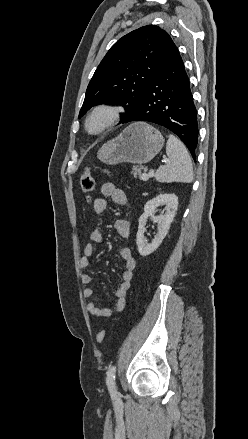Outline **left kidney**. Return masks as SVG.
Instances as JSON below:
<instances>
[{"instance_id":"5707ae66","label":"left kidney","mask_w":248,"mask_h":439,"mask_svg":"<svg viewBox=\"0 0 248 439\" xmlns=\"http://www.w3.org/2000/svg\"><path fill=\"white\" fill-rule=\"evenodd\" d=\"M162 205H165V214L154 216L156 209ZM177 207L178 197L175 194H159L145 204L144 213L140 216L138 221V232L136 235V244L141 256L150 255L160 246L175 217ZM148 217H151L155 223H158V233L151 243H148L144 237Z\"/></svg>"}]
</instances>
